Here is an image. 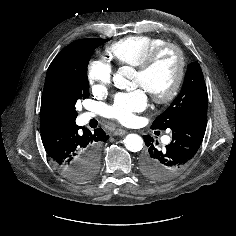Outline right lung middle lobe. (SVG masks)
Instances as JSON below:
<instances>
[{"label": "right lung middle lobe", "mask_w": 236, "mask_h": 236, "mask_svg": "<svg viewBox=\"0 0 236 236\" xmlns=\"http://www.w3.org/2000/svg\"><path fill=\"white\" fill-rule=\"evenodd\" d=\"M107 39L88 38L72 42L58 54V60L50 64L44 91L58 107L66 120L77 117V101L89 97L87 66L94 49ZM99 156H94L83 172L82 180L92 178L98 171Z\"/></svg>", "instance_id": "obj_1"}]
</instances>
